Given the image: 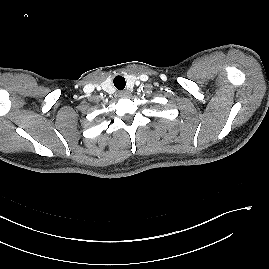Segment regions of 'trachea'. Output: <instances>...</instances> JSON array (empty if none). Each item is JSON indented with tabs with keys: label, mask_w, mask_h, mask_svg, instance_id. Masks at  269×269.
<instances>
[{
	"label": "trachea",
	"mask_w": 269,
	"mask_h": 269,
	"mask_svg": "<svg viewBox=\"0 0 269 269\" xmlns=\"http://www.w3.org/2000/svg\"><path fill=\"white\" fill-rule=\"evenodd\" d=\"M115 87L118 90H123L125 88L126 85V81L125 78L122 76H116L113 80Z\"/></svg>",
	"instance_id": "3493384b"
}]
</instances>
